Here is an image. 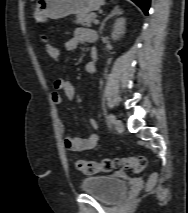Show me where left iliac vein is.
<instances>
[{
    "label": "left iliac vein",
    "mask_w": 188,
    "mask_h": 213,
    "mask_svg": "<svg viewBox=\"0 0 188 213\" xmlns=\"http://www.w3.org/2000/svg\"><path fill=\"white\" fill-rule=\"evenodd\" d=\"M115 129L118 132H123L124 131V125L120 120H115Z\"/></svg>",
    "instance_id": "4c4485c4"
}]
</instances>
